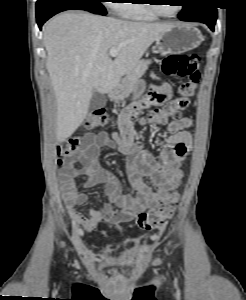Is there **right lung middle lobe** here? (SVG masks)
<instances>
[{
    "instance_id": "dd1d6c3e",
    "label": "right lung middle lobe",
    "mask_w": 246,
    "mask_h": 300,
    "mask_svg": "<svg viewBox=\"0 0 246 300\" xmlns=\"http://www.w3.org/2000/svg\"><path fill=\"white\" fill-rule=\"evenodd\" d=\"M57 2H74L83 5L88 11L106 15V9L102 5V0H37L36 11L43 10L46 6Z\"/></svg>"
}]
</instances>
